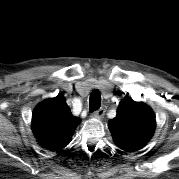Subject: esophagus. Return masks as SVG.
Wrapping results in <instances>:
<instances>
[{"label":"esophagus","mask_w":179,"mask_h":179,"mask_svg":"<svg viewBox=\"0 0 179 179\" xmlns=\"http://www.w3.org/2000/svg\"><path fill=\"white\" fill-rule=\"evenodd\" d=\"M105 110L100 108L92 113V117L94 118H102L104 116Z\"/></svg>","instance_id":"esophagus-1"}]
</instances>
